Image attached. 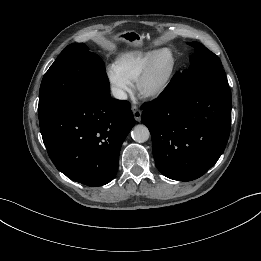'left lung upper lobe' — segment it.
<instances>
[{"instance_id": "5c2ea615", "label": "left lung upper lobe", "mask_w": 261, "mask_h": 261, "mask_svg": "<svg viewBox=\"0 0 261 261\" xmlns=\"http://www.w3.org/2000/svg\"><path fill=\"white\" fill-rule=\"evenodd\" d=\"M195 52L190 56L191 65L179 75L176 87L179 94L184 95L189 87L198 79L210 75L226 76L217 55L198 42L188 43Z\"/></svg>"}]
</instances>
